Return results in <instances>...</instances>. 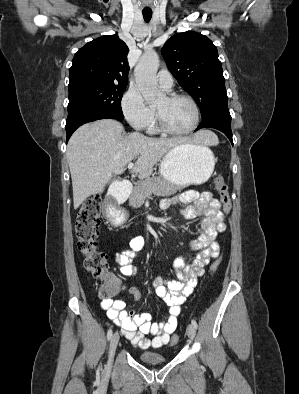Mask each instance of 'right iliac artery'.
Wrapping results in <instances>:
<instances>
[{"mask_svg":"<svg viewBox=\"0 0 299 394\" xmlns=\"http://www.w3.org/2000/svg\"><path fill=\"white\" fill-rule=\"evenodd\" d=\"M112 337V329L110 328L107 332V339L110 340Z\"/></svg>","mask_w":299,"mask_h":394,"instance_id":"82829eb1","label":"right iliac artery"}]
</instances>
